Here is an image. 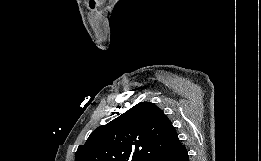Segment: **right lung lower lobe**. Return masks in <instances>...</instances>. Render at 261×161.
<instances>
[{
    "label": "right lung lower lobe",
    "instance_id": "98d812e1",
    "mask_svg": "<svg viewBox=\"0 0 261 161\" xmlns=\"http://www.w3.org/2000/svg\"><path fill=\"white\" fill-rule=\"evenodd\" d=\"M150 161H189V156L185 146L180 145L170 152H165L153 157Z\"/></svg>",
    "mask_w": 261,
    "mask_h": 161
}]
</instances>
